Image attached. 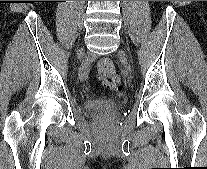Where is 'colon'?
I'll return each mask as SVG.
<instances>
[{
    "mask_svg": "<svg viewBox=\"0 0 207 169\" xmlns=\"http://www.w3.org/2000/svg\"><path fill=\"white\" fill-rule=\"evenodd\" d=\"M98 77L103 85L112 92H120L123 89L121 78L115 70L113 62L108 58H102L97 66Z\"/></svg>",
    "mask_w": 207,
    "mask_h": 169,
    "instance_id": "obj_1",
    "label": "colon"
}]
</instances>
